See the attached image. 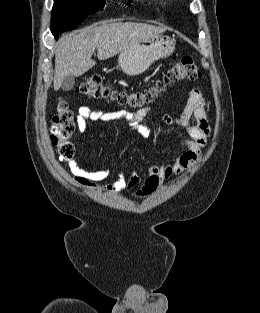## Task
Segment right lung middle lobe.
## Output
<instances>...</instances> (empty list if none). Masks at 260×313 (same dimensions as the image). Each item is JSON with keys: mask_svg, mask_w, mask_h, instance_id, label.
I'll return each instance as SVG.
<instances>
[{"mask_svg": "<svg viewBox=\"0 0 260 313\" xmlns=\"http://www.w3.org/2000/svg\"><path fill=\"white\" fill-rule=\"evenodd\" d=\"M103 0H55L51 16V32L58 38L61 32L75 29L88 15L103 9Z\"/></svg>", "mask_w": 260, "mask_h": 313, "instance_id": "1", "label": "right lung middle lobe"}]
</instances>
